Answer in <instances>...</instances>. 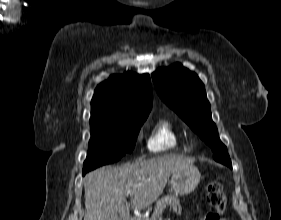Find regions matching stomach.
Segmentation results:
<instances>
[{
  "label": "stomach",
  "mask_w": 281,
  "mask_h": 220,
  "mask_svg": "<svg viewBox=\"0 0 281 220\" xmlns=\"http://www.w3.org/2000/svg\"><path fill=\"white\" fill-rule=\"evenodd\" d=\"M201 179L199 170L190 165L187 168L173 172L170 184L177 194H189L195 190Z\"/></svg>",
  "instance_id": "0dacf381"
}]
</instances>
